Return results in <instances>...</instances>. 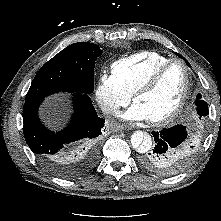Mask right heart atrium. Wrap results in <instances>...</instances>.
I'll use <instances>...</instances> for the list:
<instances>
[{
  "label": "right heart atrium",
  "mask_w": 221,
  "mask_h": 221,
  "mask_svg": "<svg viewBox=\"0 0 221 221\" xmlns=\"http://www.w3.org/2000/svg\"><path fill=\"white\" fill-rule=\"evenodd\" d=\"M95 95L103 112L110 115L126 106L131 99V95L122 87L115 76L105 71L101 72L98 77Z\"/></svg>",
  "instance_id": "1"
}]
</instances>
